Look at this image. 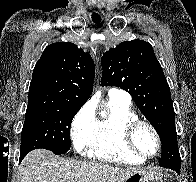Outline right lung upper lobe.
Instances as JSON below:
<instances>
[{"label":"right lung upper lobe","instance_id":"right-lung-upper-lobe-1","mask_svg":"<svg viewBox=\"0 0 196 182\" xmlns=\"http://www.w3.org/2000/svg\"><path fill=\"white\" fill-rule=\"evenodd\" d=\"M95 66L91 56L70 42L46 47L35 65L27 109L81 108L93 90Z\"/></svg>","mask_w":196,"mask_h":182}]
</instances>
